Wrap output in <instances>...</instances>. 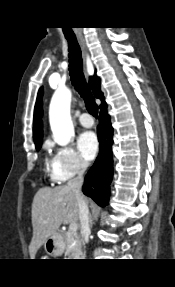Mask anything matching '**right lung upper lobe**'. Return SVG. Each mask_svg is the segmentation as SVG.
<instances>
[{
  "label": "right lung upper lobe",
  "instance_id": "right-lung-upper-lobe-1",
  "mask_svg": "<svg viewBox=\"0 0 175 287\" xmlns=\"http://www.w3.org/2000/svg\"><path fill=\"white\" fill-rule=\"evenodd\" d=\"M89 86L93 90V93L96 98L101 100L100 108L106 105L103 92L100 87V78L96 75L91 76L89 79ZM42 94L43 88H40L37 96V101L34 109V120H33V138L35 143L42 142Z\"/></svg>",
  "mask_w": 175,
  "mask_h": 287
}]
</instances>
